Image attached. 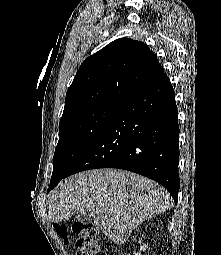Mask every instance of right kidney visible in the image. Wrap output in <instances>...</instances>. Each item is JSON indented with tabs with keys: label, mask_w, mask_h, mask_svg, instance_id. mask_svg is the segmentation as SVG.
Masks as SVG:
<instances>
[{
	"label": "right kidney",
	"mask_w": 221,
	"mask_h": 255,
	"mask_svg": "<svg viewBox=\"0 0 221 255\" xmlns=\"http://www.w3.org/2000/svg\"><path fill=\"white\" fill-rule=\"evenodd\" d=\"M139 243L141 244V241L139 240ZM146 244L140 246V251H144L146 249ZM135 255H141V253H134Z\"/></svg>",
	"instance_id": "obj_1"
}]
</instances>
